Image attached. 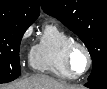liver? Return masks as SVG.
Instances as JSON below:
<instances>
[{
	"mask_svg": "<svg viewBox=\"0 0 107 89\" xmlns=\"http://www.w3.org/2000/svg\"><path fill=\"white\" fill-rule=\"evenodd\" d=\"M1 89H75L73 86L64 82L57 81L46 75H35L26 79L19 80Z\"/></svg>",
	"mask_w": 107,
	"mask_h": 89,
	"instance_id": "6515ba94",
	"label": "liver"
}]
</instances>
